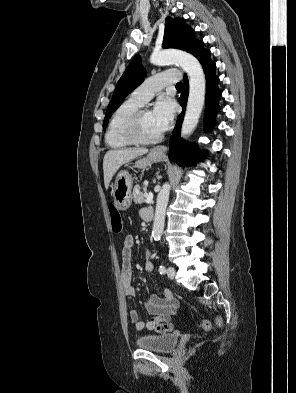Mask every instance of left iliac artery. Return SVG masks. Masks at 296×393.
<instances>
[{
	"label": "left iliac artery",
	"instance_id": "left-iliac-artery-1",
	"mask_svg": "<svg viewBox=\"0 0 296 393\" xmlns=\"http://www.w3.org/2000/svg\"><path fill=\"white\" fill-rule=\"evenodd\" d=\"M159 273L161 275L166 273V267L164 265L159 266Z\"/></svg>",
	"mask_w": 296,
	"mask_h": 393
}]
</instances>
